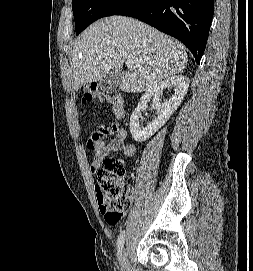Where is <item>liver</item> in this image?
<instances>
[{
	"label": "liver",
	"instance_id": "liver-1",
	"mask_svg": "<svg viewBox=\"0 0 253 271\" xmlns=\"http://www.w3.org/2000/svg\"><path fill=\"white\" fill-rule=\"evenodd\" d=\"M133 67L123 73L120 90L140 93L185 69L188 56L177 40L136 19L111 16L90 25L75 41L70 87L102 81L118 73L123 63Z\"/></svg>",
	"mask_w": 253,
	"mask_h": 271
}]
</instances>
